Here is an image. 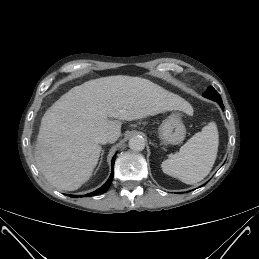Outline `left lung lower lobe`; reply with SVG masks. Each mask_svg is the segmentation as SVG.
<instances>
[{"mask_svg": "<svg viewBox=\"0 0 259 259\" xmlns=\"http://www.w3.org/2000/svg\"><path fill=\"white\" fill-rule=\"evenodd\" d=\"M217 102L219 103V105L221 106V108H224V105H223V103H222V100L217 101Z\"/></svg>", "mask_w": 259, "mask_h": 259, "instance_id": "obj_1", "label": "left lung lower lobe"}]
</instances>
